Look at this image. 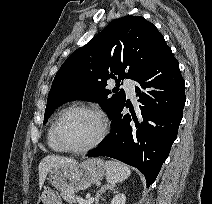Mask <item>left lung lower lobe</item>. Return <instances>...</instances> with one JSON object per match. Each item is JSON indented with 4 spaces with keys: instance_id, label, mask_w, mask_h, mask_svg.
I'll list each match as a JSON object with an SVG mask.
<instances>
[{
    "instance_id": "0a47b994",
    "label": "left lung lower lobe",
    "mask_w": 212,
    "mask_h": 204,
    "mask_svg": "<svg viewBox=\"0 0 212 204\" xmlns=\"http://www.w3.org/2000/svg\"><path fill=\"white\" fill-rule=\"evenodd\" d=\"M135 80L139 83V113L125 101L110 116V134L87 156H108L134 166L144 174L149 187L177 137L185 105V83L170 48ZM152 87L161 91H150ZM124 107H129L131 114H124Z\"/></svg>"
}]
</instances>
